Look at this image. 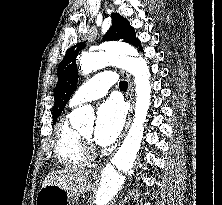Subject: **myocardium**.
Here are the masks:
<instances>
[{"label": "myocardium", "mask_w": 222, "mask_h": 205, "mask_svg": "<svg viewBox=\"0 0 222 205\" xmlns=\"http://www.w3.org/2000/svg\"><path fill=\"white\" fill-rule=\"evenodd\" d=\"M78 135L83 143L86 154L88 156H94L95 155V148L93 146L91 137L85 136L81 132H78Z\"/></svg>", "instance_id": "obj_1"}]
</instances>
